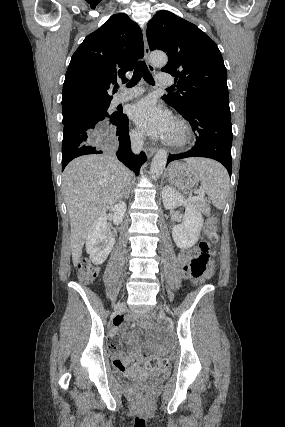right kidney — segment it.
Returning a JSON list of instances; mask_svg holds the SVG:
<instances>
[{"instance_id": "obj_1", "label": "right kidney", "mask_w": 285, "mask_h": 427, "mask_svg": "<svg viewBox=\"0 0 285 427\" xmlns=\"http://www.w3.org/2000/svg\"><path fill=\"white\" fill-rule=\"evenodd\" d=\"M111 212L114 224H120L126 212V204L124 202L116 204L111 208ZM114 244L115 239L107 234V215L102 214L93 222L86 238V251L91 261L96 265L102 264Z\"/></svg>"}]
</instances>
